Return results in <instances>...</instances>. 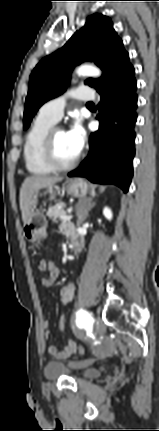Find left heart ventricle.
<instances>
[{
  "label": "left heart ventricle",
  "instance_id": "b2bd125f",
  "mask_svg": "<svg viewBox=\"0 0 159 431\" xmlns=\"http://www.w3.org/2000/svg\"><path fill=\"white\" fill-rule=\"evenodd\" d=\"M55 153L61 163H69L78 155L69 144L63 130L57 131L55 135Z\"/></svg>",
  "mask_w": 159,
  "mask_h": 431
}]
</instances>
